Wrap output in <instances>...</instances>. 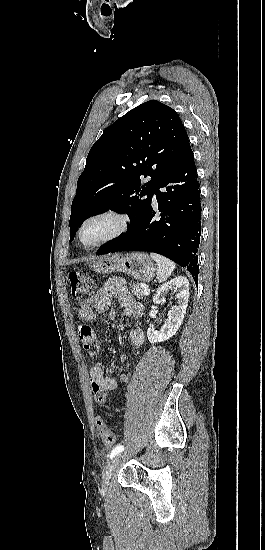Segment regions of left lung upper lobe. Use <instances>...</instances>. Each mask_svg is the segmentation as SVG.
<instances>
[{"mask_svg":"<svg viewBox=\"0 0 265 550\" xmlns=\"http://www.w3.org/2000/svg\"><path fill=\"white\" fill-rule=\"evenodd\" d=\"M188 145L177 113L156 100L135 107L107 127L90 149L77 181L70 242L85 219L108 209L128 214L129 231L133 229L150 207L166 172ZM141 175L151 180L141 184Z\"/></svg>","mask_w":265,"mask_h":550,"instance_id":"left-lung-upper-lobe-1","label":"left lung upper lobe"}]
</instances>
